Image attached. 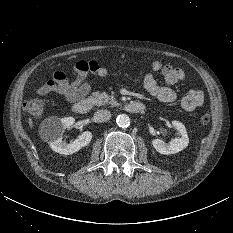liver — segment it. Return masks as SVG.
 I'll return each mask as SVG.
<instances>
[{
  "label": "liver",
  "mask_w": 233,
  "mask_h": 233,
  "mask_svg": "<svg viewBox=\"0 0 233 233\" xmlns=\"http://www.w3.org/2000/svg\"><path fill=\"white\" fill-rule=\"evenodd\" d=\"M28 123H29L30 128H32V127H33V122H32V120H31V118H29Z\"/></svg>",
  "instance_id": "6515ba94"
}]
</instances>
